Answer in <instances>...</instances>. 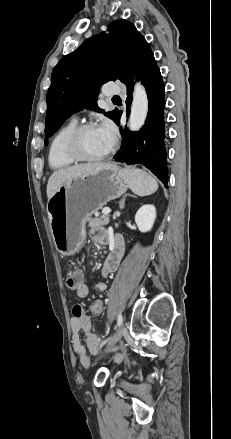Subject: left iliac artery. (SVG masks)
<instances>
[{
	"label": "left iliac artery",
	"mask_w": 231,
	"mask_h": 439,
	"mask_svg": "<svg viewBox=\"0 0 231 439\" xmlns=\"http://www.w3.org/2000/svg\"><path fill=\"white\" fill-rule=\"evenodd\" d=\"M122 322H123V317H122V314L119 313V314H118V319H117V325L120 326V325L122 324ZM109 339H110V338L104 340V341L102 342L101 346H103L104 344H106V343L108 342Z\"/></svg>",
	"instance_id": "left-iliac-artery-1"
}]
</instances>
